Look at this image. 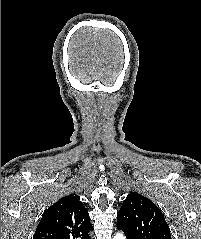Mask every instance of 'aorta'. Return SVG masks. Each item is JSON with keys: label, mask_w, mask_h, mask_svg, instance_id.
<instances>
[{"label": "aorta", "mask_w": 201, "mask_h": 239, "mask_svg": "<svg viewBox=\"0 0 201 239\" xmlns=\"http://www.w3.org/2000/svg\"><path fill=\"white\" fill-rule=\"evenodd\" d=\"M114 239H125V236L123 235V233L118 232L115 236Z\"/></svg>", "instance_id": "762f6f07"}]
</instances>
